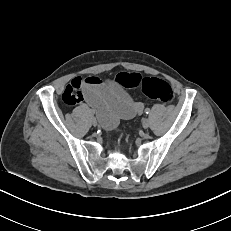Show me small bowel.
I'll list each match as a JSON object with an SVG mask.
<instances>
[{
    "mask_svg": "<svg viewBox=\"0 0 231 231\" xmlns=\"http://www.w3.org/2000/svg\"><path fill=\"white\" fill-rule=\"evenodd\" d=\"M62 96L69 105L86 102L106 129L115 128L122 119L139 115L144 108L114 81L97 76L73 78L65 86Z\"/></svg>",
    "mask_w": 231,
    "mask_h": 231,
    "instance_id": "c3829d8e",
    "label": "small bowel"
}]
</instances>
